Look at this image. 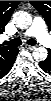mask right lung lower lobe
I'll use <instances>...</instances> for the list:
<instances>
[{
	"label": "right lung lower lobe",
	"mask_w": 51,
	"mask_h": 101,
	"mask_svg": "<svg viewBox=\"0 0 51 101\" xmlns=\"http://www.w3.org/2000/svg\"><path fill=\"white\" fill-rule=\"evenodd\" d=\"M15 59H16V58H15ZM15 59H13V60L11 61V63H10L7 67L3 68V70L1 71V76H5V75L10 71V69H11L12 66H13V63H14Z\"/></svg>",
	"instance_id": "1"
}]
</instances>
